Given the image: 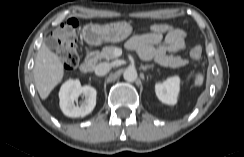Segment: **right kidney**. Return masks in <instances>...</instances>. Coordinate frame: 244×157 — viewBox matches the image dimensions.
<instances>
[{"mask_svg":"<svg viewBox=\"0 0 244 157\" xmlns=\"http://www.w3.org/2000/svg\"><path fill=\"white\" fill-rule=\"evenodd\" d=\"M81 95L85 96V100L80 106L75 105ZM96 95L95 88L89 85L81 86L79 80H68L61 86L59 92L60 108L68 117H85L93 111Z\"/></svg>","mask_w":244,"mask_h":157,"instance_id":"ca27d5eb","label":"right kidney"}]
</instances>
